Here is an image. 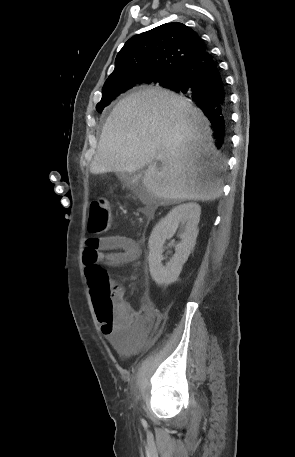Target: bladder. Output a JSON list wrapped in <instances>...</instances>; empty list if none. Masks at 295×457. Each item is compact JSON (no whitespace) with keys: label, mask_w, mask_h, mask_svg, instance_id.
I'll list each match as a JSON object with an SVG mask.
<instances>
[{"label":"bladder","mask_w":295,"mask_h":457,"mask_svg":"<svg viewBox=\"0 0 295 457\" xmlns=\"http://www.w3.org/2000/svg\"><path fill=\"white\" fill-rule=\"evenodd\" d=\"M108 347H118V356H140L141 338H108Z\"/></svg>","instance_id":"bladder-1"}]
</instances>
